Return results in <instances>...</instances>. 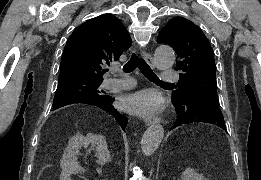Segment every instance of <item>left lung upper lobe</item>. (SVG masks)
I'll list each match as a JSON object with an SVG mask.
<instances>
[{
	"instance_id": "1",
	"label": "left lung upper lobe",
	"mask_w": 261,
	"mask_h": 180,
	"mask_svg": "<svg viewBox=\"0 0 261 180\" xmlns=\"http://www.w3.org/2000/svg\"><path fill=\"white\" fill-rule=\"evenodd\" d=\"M157 42L170 45L177 54L175 70L180 72V79L172 99H182L191 91L219 103L214 54L208 39L194 23L182 17L171 19Z\"/></svg>"
}]
</instances>
